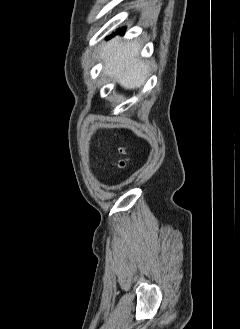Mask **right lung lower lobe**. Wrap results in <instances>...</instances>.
Listing matches in <instances>:
<instances>
[{"instance_id":"right-lung-lower-lobe-1","label":"right lung lower lobe","mask_w":240,"mask_h":329,"mask_svg":"<svg viewBox=\"0 0 240 329\" xmlns=\"http://www.w3.org/2000/svg\"><path fill=\"white\" fill-rule=\"evenodd\" d=\"M124 32H125V28H121L117 31V33H121V34H123Z\"/></svg>"}]
</instances>
